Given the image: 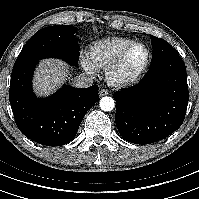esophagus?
<instances>
[{
  "instance_id": "obj_1",
  "label": "esophagus",
  "mask_w": 199,
  "mask_h": 199,
  "mask_svg": "<svg viewBox=\"0 0 199 199\" xmlns=\"http://www.w3.org/2000/svg\"><path fill=\"white\" fill-rule=\"evenodd\" d=\"M108 94H109V91L107 89L102 88V89L99 90L100 96H106Z\"/></svg>"
}]
</instances>
